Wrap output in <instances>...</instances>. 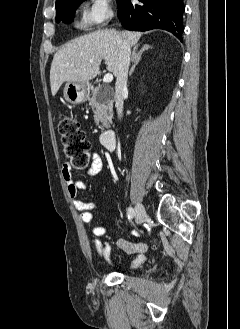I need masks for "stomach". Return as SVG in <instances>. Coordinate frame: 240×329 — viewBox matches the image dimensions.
Instances as JSON below:
<instances>
[{
	"label": "stomach",
	"instance_id": "obj_1",
	"mask_svg": "<svg viewBox=\"0 0 240 329\" xmlns=\"http://www.w3.org/2000/svg\"><path fill=\"white\" fill-rule=\"evenodd\" d=\"M89 83L67 82L64 87V98L71 104H81L89 96Z\"/></svg>",
	"mask_w": 240,
	"mask_h": 329
}]
</instances>
